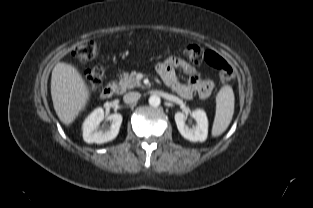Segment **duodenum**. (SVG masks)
<instances>
[{
	"mask_svg": "<svg viewBox=\"0 0 313 208\" xmlns=\"http://www.w3.org/2000/svg\"><path fill=\"white\" fill-rule=\"evenodd\" d=\"M115 90L116 86L114 84H108L102 89L100 96L103 99H109L110 97H112Z\"/></svg>",
	"mask_w": 313,
	"mask_h": 208,
	"instance_id": "obj_1",
	"label": "duodenum"
}]
</instances>
